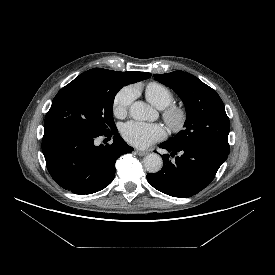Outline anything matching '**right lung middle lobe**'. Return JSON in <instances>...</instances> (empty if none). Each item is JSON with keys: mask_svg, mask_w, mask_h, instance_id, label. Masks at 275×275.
<instances>
[{"mask_svg": "<svg viewBox=\"0 0 275 275\" xmlns=\"http://www.w3.org/2000/svg\"><path fill=\"white\" fill-rule=\"evenodd\" d=\"M122 87L112 78L74 79L55 96L45 117L44 132L73 130L99 136L116 129L112 108Z\"/></svg>", "mask_w": 275, "mask_h": 275, "instance_id": "dd1d6c3e", "label": "right lung middle lobe"}]
</instances>
